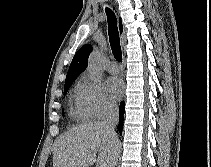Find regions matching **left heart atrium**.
Here are the masks:
<instances>
[{
	"label": "left heart atrium",
	"instance_id": "1",
	"mask_svg": "<svg viewBox=\"0 0 211 167\" xmlns=\"http://www.w3.org/2000/svg\"><path fill=\"white\" fill-rule=\"evenodd\" d=\"M105 89L108 96L115 101L121 97L124 91V85L121 79L117 77H111L107 79L105 83Z\"/></svg>",
	"mask_w": 211,
	"mask_h": 167
}]
</instances>
